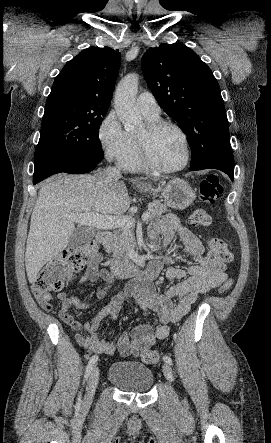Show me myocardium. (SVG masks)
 Masks as SVG:
<instances>
[{
	"label": "myocardium",
	"mask_w": 271,
	"mask_h": 443,
	"mask_svg": "<svg viewBox=\"0 0 271 443\" xmlns=\"http://www.w3.org/2000/svg\"><path fill=\"white\" fill-rule=\"evenodd\" d=\"M166 127H170L177 130L182 136L185 143L186 157L180 165L175 167H163L159 165L153 158L151 152V140L153 136L158 131ZM138 146H139L141 160L145 165V167L159 173H173L183 170L189 165L192 157V146L188 134L180 125L168 120L156 119L149 121L146 127L144 128V131L138 136Z\"/></svg>",
	"instance_id": "f54148a6"
}]
</instances>
